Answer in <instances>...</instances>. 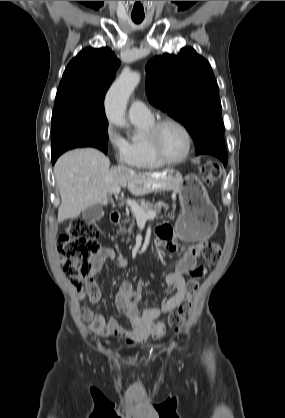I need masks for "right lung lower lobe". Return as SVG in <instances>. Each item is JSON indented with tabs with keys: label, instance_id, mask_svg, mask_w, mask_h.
Here are the masks:
<instances>
[{
	"label": "right lung lower lobe",
	"instance_id": "1",
	"mask_svg": "<svg viewBox=\"0 0 285 418\" xmlns=\"http://www.w3.org/2000/svg\"><path fill=\"white\" fill-rule=\"evenodd\" d=\"M59 157V156H58ZM58 157L52 158V163L54 164Z\"/></svg>",
	"mask_w": 285,
	"mask_h": 418
}]
</instances>
